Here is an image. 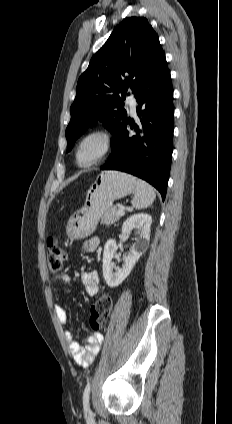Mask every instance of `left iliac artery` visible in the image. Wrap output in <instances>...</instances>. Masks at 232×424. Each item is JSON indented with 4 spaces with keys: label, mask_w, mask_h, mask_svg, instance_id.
<instances>
[{
    "label": "left iliac artery",
    "mask_w": 232,
    "mask_h": 424,
    "mask_svg": "<svg viewBox=\"0 0 232 424\" xmlns=\"http://www.w3.org/2000/svg\"><path fill=\"white\" fill-rule=\"evenodd\" d=\"M91 382L89 381L84 389L83 393V406L87 411L89 410V395H90Z\"/></svg>",
    "instance_id": "1"
}]
</instances>
